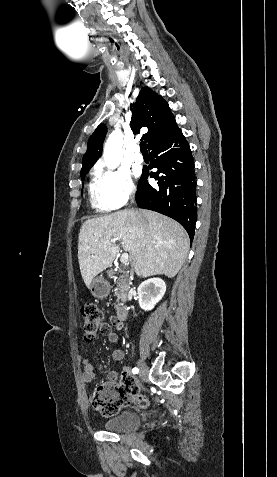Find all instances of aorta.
I'll list each match as a JSON object with an SVG mask.
<instances>
[{"label":"aorta","mask_w":277,"mask_h":477,"mask_svg":"<svg viewBox=\"0 0 277 477\" xmlns=\"http://www.w3.org/2000/svg\"><path fill=\"white\" fill-rule=\"evenodd\" d=\"M123 134L120 129L116 128L108 137L103 158L108 169H115L120 165L123 156Z\"/></svg>","instance_id":"1"}]
</instances>
